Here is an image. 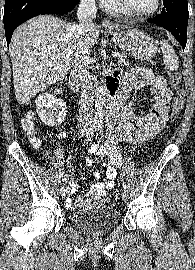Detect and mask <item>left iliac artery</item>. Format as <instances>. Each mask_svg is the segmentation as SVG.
Here are the masks:
<instances>
[{"mask_svg":"<svg viewBox=\"0 0 195 270\" xmlns=\"http://www.w3.org/2000/svg\"><path fill=\"white\" fill-rule=\"evenodd\" d=\"M97 128H98V131H100V132L102 131V126L100 124L97 126ZM123 188L127 189V185L125 182H123Z\"/></svg>","mask_w":195,"mask_h":270,"instance_id":"1","label":"left iliac artery"}]
</instances>
